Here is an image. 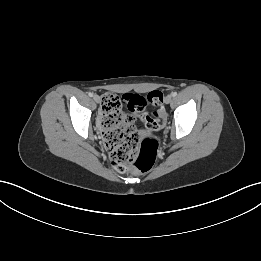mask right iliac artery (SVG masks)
<instances>
[{"label": "right iliac artery", "instance_id": "1", "mask_svg": "<svg viewBox=\"0 0 261 261\" xmlns=\"http://www.w3.org/2000/svg\"><path fill=\"white\" fill-rule=\"evenodd\" d=\"M88 95H89L90 97H93V93H92V92H89Z\"/></svg>", "mask_w": 261, "mask_h": 261}]
</instances>
